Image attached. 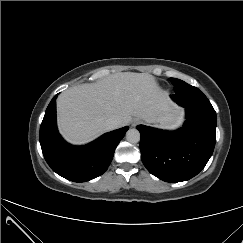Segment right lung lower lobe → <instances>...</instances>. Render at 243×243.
Masks as SVG:
<instances>
[{"label": "right lung lower lobe", "mask_w": 243, "mask_h": 243, "mask_svg": "<svg viewBox=\"0 0 243 243\" xmlns=\"http://www.w3.org/2000/svg\"><path fill=\"white\" fill-rule=\"evenodd\" d=\"M57 96L58 94L48 105L40 127V144L44 158L54 172L70 181L92 180L107 170L128 127L106 133L86 146H71L57 131Z\"/></svg>", "instance_id": "right-lung-lower-lobe-1"}]
</instances>
